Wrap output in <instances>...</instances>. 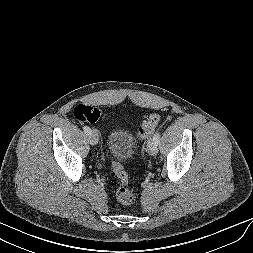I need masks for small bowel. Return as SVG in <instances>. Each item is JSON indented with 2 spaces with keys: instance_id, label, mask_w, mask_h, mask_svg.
<instances>
[{
  "instance_id": "obj_1",
  "label": "small bowel",
  "mask_w": 253,
  "mask_h": 253,
  "mask_svg": "<svg viewBox=\"0 0 253 253\" xmlns=\"http://www.w3.org/2000/svg\"><path fill=\"white\" fill-rule=\"evenodd\" d=\"M96 113H97V115H96V120H98V118L101 116L102 112H101L100 110H97V109H96ZM96 120H95V121H96Z\"/></svg>"
}]
</instances>
